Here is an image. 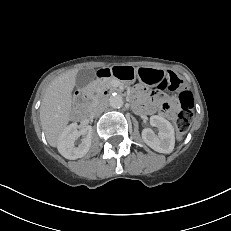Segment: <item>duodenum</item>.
<instances>
[{
    "mask_svg": "<svg viewBox=\"0 0 231 231\" xmlns=\"http://www.w3.org/2000/svg\"><path fill=\"white\" fill-rule=\"evenodd\" d=\"M88 97H89V92H87V91H85V90H82V91L79 93L78 102H80V101H85V100L88 99ZM74 112H75L76 116H77L80 120H82V121L87 120V118H88L87 114L81 113V111L79 110V108H76V109L74 110Z\"/></svg>",
    "mask_w": 231,
    "mask_h": 231,
    "instance_id": "410a0bca",
    "label": "duodenum"
}]
</instances>
